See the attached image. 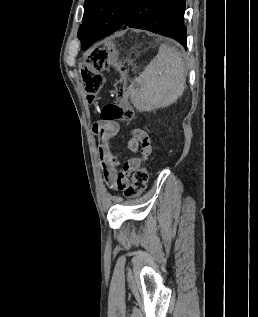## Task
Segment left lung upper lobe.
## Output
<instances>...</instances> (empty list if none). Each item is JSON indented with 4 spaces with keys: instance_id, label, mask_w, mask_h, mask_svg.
<instances>
[{
    "instance_id": "left-lung-upper-lobe-1",
    "label": "left lung upper lobe",
    "mask_w": 258,
    "mask_h": 317,
    "mask_svg": "<svg viewBox=\"0 0 258 317\" xmlns=\"http://www.w3.org/2000/svg\"><path fill=\"white\" fill-rule=\"evenodd\" d=\"M132 0H85L82 25L78 30L81 40L98 27L119 28L122 26Z\"/></svg>"
}]
</instances>
